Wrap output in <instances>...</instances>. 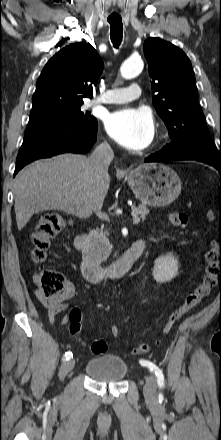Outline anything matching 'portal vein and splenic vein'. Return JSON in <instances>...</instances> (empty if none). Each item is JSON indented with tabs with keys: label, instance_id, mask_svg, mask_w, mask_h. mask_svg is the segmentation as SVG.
<instances>
[{
	"label": "portal vein and splenic vein",
	"instance_id": "1",
	"mask_svg": "<svg viewBox=\"0 0 221 440\" xmlns=\"http://www.w3.org/2000/svg\"><path fill=\"white\" fill-rule=\"evenodd\" d=\"M96 215L103 220H109L108 215L106 213L101 212V211H98L96 213ZM139 222H140V217H135L133 219V224H138Z\"/></svg>",
	"mask_w": 221,
	"mask_h": 440
}]
</instances>
